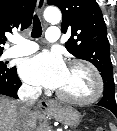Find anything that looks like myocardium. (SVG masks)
<instances>
[{
    "label": "myocardium",
    "instance_id": "obj_1",
    "mask_svg": "<svg viewBox=\"0 0 117 131\" xmlns=\"http://www.w3.org/2000/svg\"><path fill=\"white\" fill-rule=\"evenodd\" d=\"M68 67H80L86 70L93 78V92L87 97L77 98L68 96L60 91H57V97L64 102L75 105H89L98 101L102 96L104 90L103 80L99 71L92 64L82 60H72L69 62Z\"/></svg>",
    "mask_w": 117,
    "mask_h": 131
}]
</instances>
